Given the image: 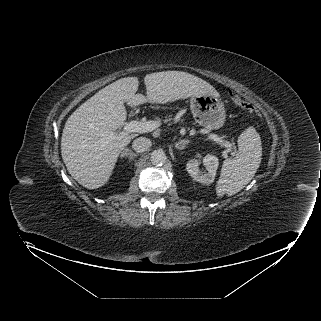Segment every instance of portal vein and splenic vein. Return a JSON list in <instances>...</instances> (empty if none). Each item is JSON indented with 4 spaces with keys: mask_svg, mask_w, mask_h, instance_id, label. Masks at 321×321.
Wrapping results in <instances>:
<instances>
[{
    "mask_svg": "<svg viewBox=\"0 0 321 321\" xmlns=\"http://www.w3.org/2000/svg\"><path fill=\"white\" fill-rule=\"evenodd\" d=\"M159 126H160V122L154 121V120L147 121V122L131 121L124 126V131L147 133L155 130ZM208 138L231 151L232 149L231 143L229 141L223 140L222 137H219L218 135H215V134H211L208 136Z\"/></svg>",
    "mask_w": 321,
    "mask_h": 321,
    "instance_id": "obj_1",
    "label": "portal vein and splenic vein"
}]
</instances>
